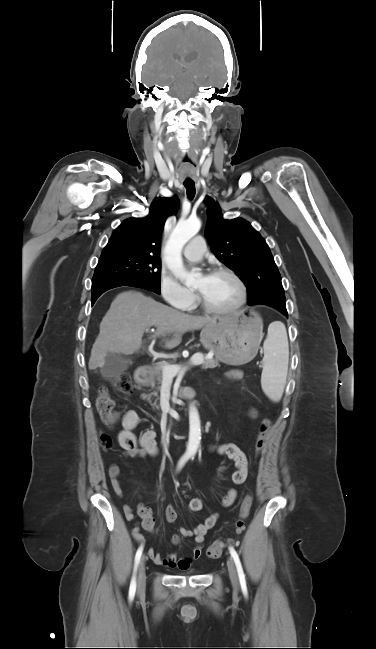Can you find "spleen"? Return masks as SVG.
<instances>
[{
	"label": "spleen",
	"instance_id": "1",
	"mask_svg": "<svg viewBox=\"0 0 376 649\" xmlns=\"http://www.w3.org/2000/svg\"><path fill=\"white\" fill-rule=\"evenodd\" d=\"M263 348L262 389L271 400L277 402L283 395L289 360L288 339L282 323L274 322L269 326Z\"/></svg>",
	"mask_w": 376,
	"mask_h": 649
}]
</instances>
